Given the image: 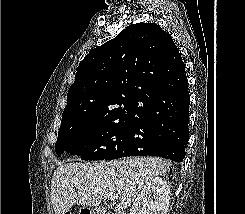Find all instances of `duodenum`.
I'll use <instances>...</instances> for the list:
<instances>
[{
	"label": "duodenum",
	"mask_w": 245,
	"mask_h": 214,
	"mask_svg": "<svg viewBox=\"0 0 245 214\" xmlns=\"http://www.w3.org/2000/svg\"><path fill=\"white\" fill-rule=\"evenodd\" d=\"M83 214H105V211L101 208L86 209Z\"/></svg>",
	"instance_id": "1"
}]
</instances>
